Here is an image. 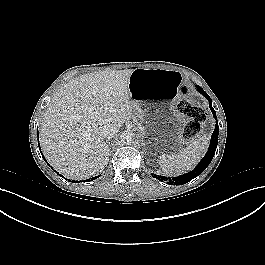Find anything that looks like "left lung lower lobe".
<instances>
[{
    "instance_id": "obj_1",
    "label": "left lung lower lobe",
    "mask_w": 265,
    "mask_h": 265,
    "mask_svg": "<svg viewBox=\"0 0 265 265\" xmlns=\"http://www.w3.org/2000/svg\"><path fill=\"white\" fill-rule=\"evenodd\" d=\"M196 87H197V90L208 99V101L210 102L209 107L213 113V116L217 118L216 112L213 109L212 104H211L212 100L209 97V95L200 86H196ZM218 133H219V126H218V122H216V127L211 137V143H210L209 149L206 155L204 156V158L199 162V164L195 167L194 170L184 175L178 176L176 178H172V179L169 177L167 178L165 176H160V175H152V177L160 181H168V184L170 185H183V184L188 183L195 177L199 176L207 168V166L210 164V162L212 161L214 157L217 143H218Z\"/></svg>"
}]
</instances>
